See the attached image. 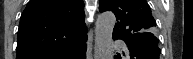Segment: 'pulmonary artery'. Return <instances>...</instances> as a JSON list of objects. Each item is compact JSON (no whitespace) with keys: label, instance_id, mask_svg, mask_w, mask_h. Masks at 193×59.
Masks as SVG:
<instances>
[{"label":"pulmonary artery","instance_id":"e3ab8cb5","mask_svg":"<svg viewBox=\"0 0 193 59\" xmlns=\"http://www.w3.org/2000/svg\"><path fill=\"white\" fill-rule=\"evenodd\" d=\"M113 45L118 46V47H122V46H124V42H122L120 40H115Z\"/></svg>","mask_w":193,"mask_h":59}]
</instances>
